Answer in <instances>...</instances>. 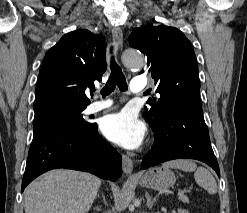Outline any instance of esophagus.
<instances>
[{"instance_id":"34e87169","label":"esophagus","mask_w":247,"mask_h":213,"mask_svg":"<svg viewBox=\"0 0 247 213\" xmlns=\"http://www.w3.org/2000/svg\"><path fill=\"white\" fill-rule=\"evenodd\" d=\"M112 36L113 41L117 47V49L120 51L122 49L123 45V33L120 27H113L112 29ZM122 168L126 175L134 178L136 175L132 174L133 171V162L131 158H129L126 155L122 156Z\"/></svg>"}]
</instances>
